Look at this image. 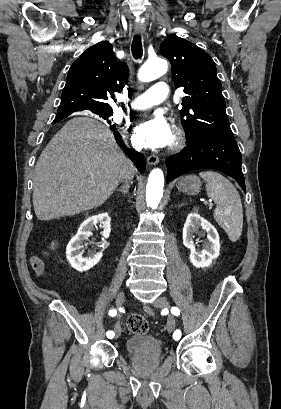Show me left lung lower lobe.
<instances>
[{
    "label": "left lung lower lobe",
    "instance_id": "left-lung-lower-lobe-1",
    "mask_svg": "<svg viewBox=\"0 0 281 409\" xmlns=\"http://www.w3.org/2000/svg\"><path fill=\"white\" fill-rule=\"evenodd\" d=\"M188 143L186 149L167 160V180L191 170L216 169L234 178L246 192L242 157L235 140L203 135L188 140Z\"/></svg>",
    "mask_w": 281,
    "mask_h": 409
}]
</instances>
